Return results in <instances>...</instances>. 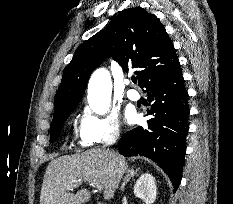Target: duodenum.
Masks as SVG:
<instances>
[{
    "label": "duodenum",
    "instance_id": "410a0bca",
    "mask_svg": "<svg viewBox=\"0 0 233 204\" xmlns=\"http://www.w3.org/2000/svg\"><path fill=\"white\" fill-rule=\"evenodd\" d=\"M97 204H105V203H103V202H98Z\"/></svg>",
    "mask_w": 233,
    "mask_h": 204
}]
</instances>
